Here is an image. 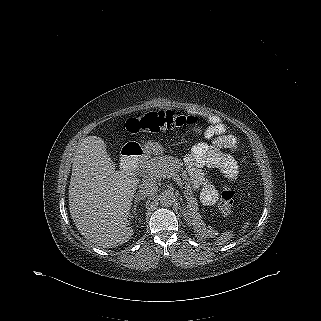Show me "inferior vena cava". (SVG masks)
<instances>
[{"label":"inferior vena cava","instance_id":"obj_1","mask_svg":"<svg viewBox=\"0 0 321 321\" xmlns=\"http://www.w3.org/2000/svg\"><path fill=\"white\" fill-rule=\"evenodd\" d=\"M158 187L149 179H145L140 185H139V192L140 195L144 197H152L157 193Z\"/></svg>","mask_w":321,"mask_h":321}]
</instances>
